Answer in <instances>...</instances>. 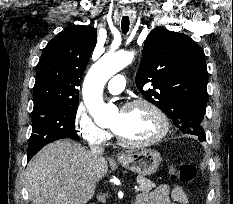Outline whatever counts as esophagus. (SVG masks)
<instances>
[{
  "label": "esophagus",
  "mask_w": 233,
  "mask_h": 204,
  "mask_svg": "<svg viewBox=\"0 0 233 204\" xmlns=\"http://www.w3.org/2000/svg\"><path fill=\"white\" fill-rule=\"evenodd\" d=\"M129 14H130L129 11H127V10L123 11V15H129ZM122 156H123L122 154H119L118 158H121Z\"/></svg>",
  "instance_id": "esophagus-1"
}]
</instances>
